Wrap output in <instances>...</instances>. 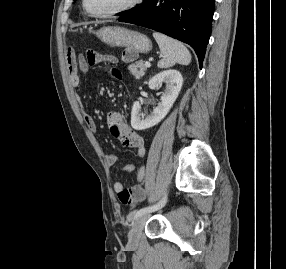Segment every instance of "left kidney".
Here are the masks:
<instances>
[{"mask_svg": "<svg viewBox=\"0 0 286 269\" xmlns=\"http://www.w3.org/2000/svg\"><path fill=\"white\" fill-rule=\"evenodd\" d=\"M165 83L161 103L154 108L150 115L144 117L138 101L133 104L131 112V126L135 130H145L158 124L170 111L182 88L183 78L179 71L170 69L156 74L149 80V88H160Z\"/></svg>", "mask_w": 286, "mask_h": 269, "instance_id": "1", "label": "left kidney"}]
</instances>
